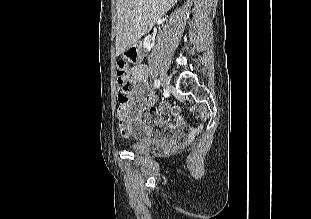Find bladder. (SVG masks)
I'll return each instance as SVG.
<instances>
[{"mask_svg": "<svg viewBox=\"0 0 311 219\" xmlns=\"http://www.w3.org/2000/svg\"><path fill=\"white\" fill-rule=\"evenodd\" d=\"M153 148L152 142H135L131 145V149L135 153H147Z\"/></svg>", "mask_w": 311, "mask_h": 219, "instance_id": "bladder-1", "label": "bladder"}]
</instances>
